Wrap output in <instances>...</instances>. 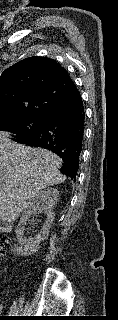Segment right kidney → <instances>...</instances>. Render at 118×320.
Here are the masks:
<instances>
[{
	"mask_svg": "<svg viewBox=\"0 0 118 320\" xmlns=\"http://www.w3.org/2000/svg\"><path fill=\"white\" fill-rule=\"evenodd\" d=\"M59 197V191L56 188L48 187L41 190L32 200L29 207L23 211L18 226L15 230L16 237L18 239L19 247L17 252L23 255L34 254L39 244L45 240L48 236L51 224L54 221V205L57 203ZM39 213L46 215V220L41 228V231L34 237L25 236V226L27 221L37 216Z\"/></svg>",
	"mask_w": 118,
	"mask_h": 320,
	"instance_id": "1",
	"label": "right kidney"
}]
</instances>
